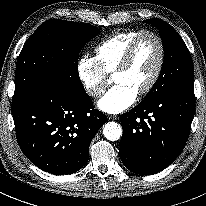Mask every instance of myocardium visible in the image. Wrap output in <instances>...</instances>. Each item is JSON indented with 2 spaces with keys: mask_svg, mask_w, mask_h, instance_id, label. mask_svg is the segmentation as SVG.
Listing matches in <instances>:
<instances>
[{
  "mask_svg": "<svg viewBox=\"0 0 206 206\" xmlns=\"http://www.w3.org/2000/svg\"><path fill=\"white\" fill-rule=\"evenodd\" d=\"M145 36H152L157 41V44L159 47V58H158L156 69L152 77L150 78L149 82L140 91H138L137 93L138 96H143V95L148 94L154 88V86L156 85V83L158 82L161 76L164 62H165V46L159 34H157L154 31H150V30L142 31L140 34H138L128 46L121 62L119 63L115 71L113 72L114 75H116L118 73H123L128 69L134 57V54H135V51L137 49L139 42Z\"/></svg>",
  "mask_w": 206,
  "mask_h": 206,
  "instance_id": "obj_1",
  "label": "myocardium"
}]
</instances>
